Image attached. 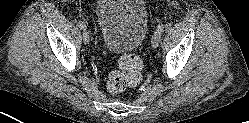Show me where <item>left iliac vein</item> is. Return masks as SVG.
<instances>
[{
	"label": "left iliac vein",
	"mask_w": 249,
	"mask_h": 123,
	"mask_svg": "<svg viewBox=\"0 0 249 123\" xmlns=\"http://www.w3.org/2000/svg\"><path fill=\"white\" fill-rule=\"evenodd\" d=\"M161 36L162 34L158 31H156L153 36H152V40H151V44L153 48L158 47L159 43L161 42Z\"/></svg>",
	"instance_id": "left-iliac-vein-1"
}]
</instances>
